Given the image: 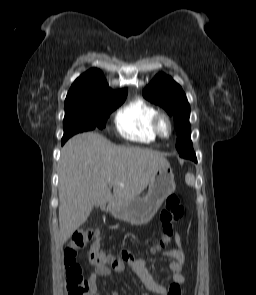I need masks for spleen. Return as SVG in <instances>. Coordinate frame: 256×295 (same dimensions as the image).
Segmentation results:
<instances>
[{"label":"spleen","mask_w":256,"mask_h":295,"mask_svg":"<svg viewBox=\"0 0 256 295\" xmlns=\"http://www.w3.org/2000/svg\"><path fill=\"white\" fill-rule=\"evenodd\" d=\"M186 182H187L188 185L193 186V184H194V176H193V174L188 173L186 175Z\"/></svg>","instance_id":"1"}]
</instances>
